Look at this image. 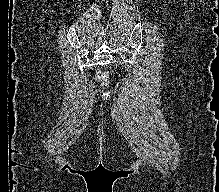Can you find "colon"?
Listing matches in <instances>:
<instances>
[{"label":"colon","mask_w":219,"mask_h":192,"mask_svg":"<svg viewBox=\"0 0 219 192\" xmlns=\"http://www.w3.org/2000/svg\"><path fill=\"white\" fill-rule=\"evenodd\" d=\"M96 79L102 86H107L109 83L107 73L104 71H99L96 75Z\"/></svg>","instance_id":"5ec220e1"}]
</instances>
